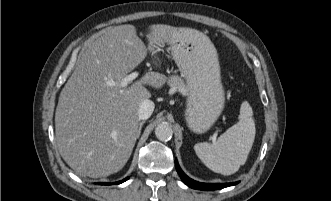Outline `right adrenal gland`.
<instances>
[{"label": "right adrenal gland", "mask_w": 331, "mask_h": 201, "mask_svg": "<svg viewBox=\"0 0 331 201\" xmlns=\"http://www.w3.org/2000/svg\"><path fill=\"white\" fill-rule=\"evenodd\" d=\"M144 124V121L140 122L139 123V135H140V132H141V128H142V125Z\"/></svg>", "instance_id": "2a0ac1e0"}]
</instances>
